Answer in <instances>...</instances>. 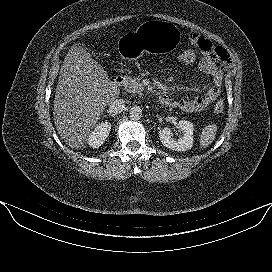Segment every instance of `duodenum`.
Wrapping results in <instances>:
<instances>
[{
  "instance_id": "410a0bca",
  "label": "duodenum",
  "mask_w": 272,
  "mask_h": 272,
  "mask_svg": "<svg viewBox=\"0 0 272 272\" xmlns=\"http://www.w3.org/2000/svg\"><path fill=\"white\" fill-rule=\"evenodd\" d=\"M125 82V77L123 75H118L115 78V84L118 86L123 85V83ZM157 100L159 103L163 104V105H167L170 102V99L167 95H159L157 97Z\"/></svg>"
}]
</instances>
